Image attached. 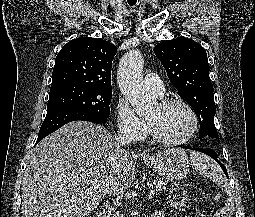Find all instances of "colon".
Returning <instances> with one entry per match:
<instances>
[{
    "label": "colon",
    "mask_w": 255,
    "mask_h": 217,
    "mask_svg": "<svg viewBox=\"0 0 255 217\" xmlns=\"http://www.w3.org/2000/svg\"><path fill=\"white\" fill-rule=\"evenodd\" d=\"M170 203L175 208H183L188 203V195L183 187L175 185L170 191Z\"/></svg>",
    "instance_id": "colon-1"
}]
</instances>
